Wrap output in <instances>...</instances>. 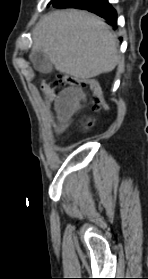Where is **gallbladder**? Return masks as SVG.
Listing matches in <instances>:
<instances>
[{
    "label": "gallbladder",
    "mask_w": 148,
    "mask_h": 279,
    "mask_svg": "<svg viewBox=\"0 0 148 279\" xmlns=\"http://www.w3.org/2000/svg\"><path fill=\"white\" fill-rule=\"evenodd\" d=\"M30 60L34 68L40 73L49 74L53 70L50 58L42 50L31 53Z\"/></svg>",
    "instance_id": "obj_1"
}]
</instances>
